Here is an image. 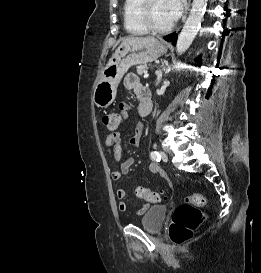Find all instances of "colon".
Instances as JSON below:
<instances>
[{
    "instance_id": "colon-1",
    "label": "colon",
    "mask_w": 261,
    "mask_h": 273,
    "mask_svg": "<svg viewBox=\"0 0 261 273\" xmlns=\"http://www.w3.org/2000/svg\"><path fill=\"white\" fill-rule=\"evenodd\" d=\"M122 115L118 112L105 113L102 116V123L110 130L118 128ZM135 195L149 203H157L161 200V194L157 191L137 186ZM209 201L203 194H191L186 202L179 206L173 213L172 224L169 229L171 240L176 244H183L189 240L194 230L203 222L205 214L198 208Z\"/></svg>"
}]
</instances>
